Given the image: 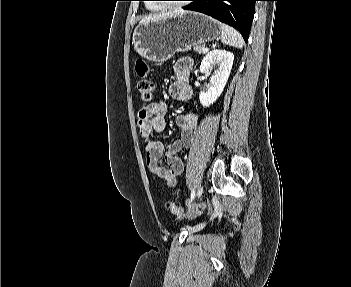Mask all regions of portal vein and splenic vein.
<instances>
[{"instance_id":"18ae733b","label":"portal vein and splenic vein","mask_w":351,"mask_h":287,"mask_svg":"<svg viewBox=\"0 0 351 287\" xmlns=\"http://www.w3.org/2000/svg\"><path fill=\"white\" fill-rule=\"evenodd\" d=\"M203 51H204V52H205V51H208V48L204 47Z\"/></svg>"}]
</instances>
